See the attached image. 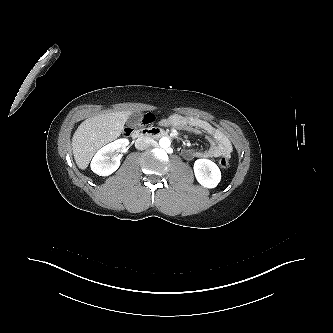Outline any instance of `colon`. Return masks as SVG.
I'll list each match as a JSON object with an SVG mask.
<instances>
[{
	"mask_svg": "<svg viewBox=\"0 0 333 333\" xmlns=\"http://www.w3.org/2000/svg\"><path fill=\"white\" fill-rule=\"evenodd\" d=\"M155 121V116L152 113H147L142 117L141 124L149 125ZM131 132L130 128L125 129V133L129 134ZM219 165L223 169H227L229 167V159L227 156H222L219 160Z\"/></svg>",
	"mask_w": 333,
	"mask_h": 333,
	"instance_id": "obj_1",
	"label": "colon"
}]
</instances>
